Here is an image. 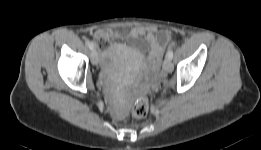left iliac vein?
<instances>
[{
	"mask_svg": "<svg viewBox=\"0 0 261 150\" xmlns=\"http://www.w3.org/2000/svg\"><path fill=\"white\" fill-rule=\"evenodd\" d=\"M163 69L166 72H172L173 71V64L171 62V59H169L168 57H166L163 61Z\"/></svg>",
	"mask_w": 261,
	"mask_h": 150,
	"instance_id": "4c4485c4",
	"label": "left iliac vein"
}]
</instances>
